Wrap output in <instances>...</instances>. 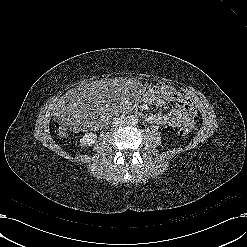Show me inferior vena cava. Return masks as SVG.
<instances>
[{"instance_id": "inferior-vena-cava-1", "label": "inferior vena cava", "mask_w": 247, "mask_h": 247, "mask_svg": "<svg viewBox=\"0 0 247 247\" xmlns=\"http://www.w3.org/2000/svg\"><path fill=\"white\" fill-rule=\"evenodd\" d=\"M126 122V119L123 117H119V118H115V120L113 121L112 125L113 126H118V125H122Z\"/></svg>"}]
</instances>
